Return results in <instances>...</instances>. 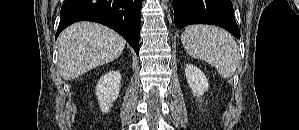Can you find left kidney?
<instances>
[{"mask_svg":"<svg viewBox=\"0 0 299 130\" xmlns=\"http://www.w3.org/2000/svg\"><path fill=\"white\" fill-rule=\"evenodd\" d=\"M185 74L189 87L193 94L202 96L209 88L208 80L205 74L192 64H187Z\"/></svg>","mask_w":299,"mask_h":130,"instance_id":"5707ae66","label":"left kidney"}]
</instances>
